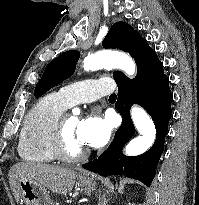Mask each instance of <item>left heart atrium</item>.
I'll return each mask as SVG.
<instances>
[{
  "label": "left heart atrium",
  "mask_w": 199,
  "mask_h": 205,
  "mask_svg": "<svg viewBox=\"0 0 199 205\" xmlns=\"http://www.w3.org/2000/svg\"><path fill=\"white\" fill-rule=\"evenodd\" d=\"M112 126L111 120L93 115L80 120L78 136L84 145L101 147L108 142Z\"/></svg>",
  "instance_id": "left-heart-atrium-1"
}]
</instances>
